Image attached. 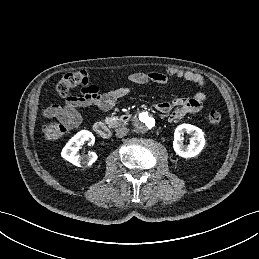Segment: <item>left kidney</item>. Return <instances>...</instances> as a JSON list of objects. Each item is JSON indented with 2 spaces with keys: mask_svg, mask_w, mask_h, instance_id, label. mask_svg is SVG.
<instances>
[{
  "mask_svg": "<svg viewBox=\"0 0 259 259\" xmlns=\"http://www.w3.org/2000/svg\"><path fill=\"white\" fill-rule=\"evenodd\" d=\"M184 133L191 135L188 145L183 144ZM205 143L203 131L196 126L181 124L175 129L173 148L180 157L191 158L197 156L204 148Z\"/></svg>",
  "mask_w": 259,
  "mask_h": 259,
  "instance_id": "left-kidney-1",
  "label": "left kidney"
}]
</instances>
